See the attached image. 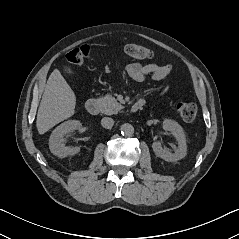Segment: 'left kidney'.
Here are the masks:
<instances>
[{"instance_id":"5707ae66","label":"left kidney","mask_w":239,"mask_h":239,"mask_svg":"<svg viewBox=\"0 0 239 239\" xmlns=\"http://www.w3.org/2000/svg\"><path fill=\"white\" fill-rule=\"evenodd\" d=\"M163 129L172 133L178 146L176 147L175 152L171 153L164 149L159 141L153 142L152 148L156 156L168 162H175L184 158L187 154V144L183 128L176 121L166 119L163 122Z\"/></svg>"}]
</instances>
